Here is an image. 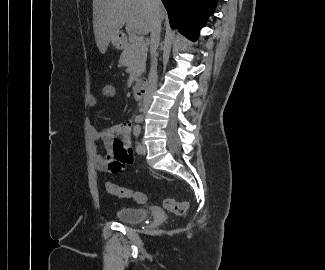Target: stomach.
Listing matches in <instances>:
<instances>
[{"mask_svg": "<svg viewBox=\"0 0 325 270\" xmlns=\"http://www.w3.org/2000/svg\"><path fill=\"white\" fill-rule=\"evenodd\" d=\"M112 43L117 49H123L127 45L126 37L119 33L113 38Z\"/></svg>", "mask_w": 325, "mask_h": 270, "instance_id": "0dacf381", "label": "stomach"}]
</instances>
